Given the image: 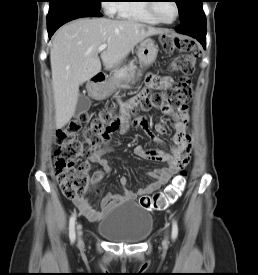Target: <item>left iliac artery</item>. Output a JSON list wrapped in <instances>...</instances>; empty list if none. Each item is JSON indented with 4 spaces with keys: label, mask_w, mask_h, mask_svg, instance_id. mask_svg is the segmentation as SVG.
<instances>
[{
    "label": "left iliac artery",
    "mask_w": 258,
    "mask_h": 275,
    "mask_svg": "<svg viewBox=\"0 0 258 275\" xmlns=\"http://www.w3.org/2000/svg\"><path fill=\"white\" fill-rule=\"evenodd\" d=\"M178 235V225L177 222L175 220L172 221V234L171 237L173 240H175L177 238Z\"/></svg>",
    "instance_id": "left-iliac-artery-1"
}]
</instances>
